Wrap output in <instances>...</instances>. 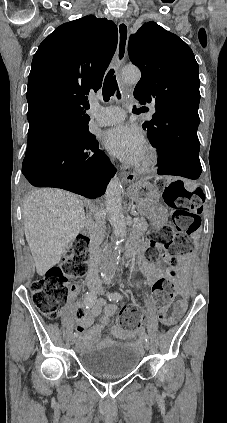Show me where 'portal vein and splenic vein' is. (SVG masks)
I'll list each match as a JSON object with an SVG mask.
<instances>
[{"instance_id": "obj_1", "label": "portal vein and splenic vein", "mask_w": 227, "mask_h": 423, "mask_svg": "<svg viewBox=\"0 0 227 423\" xmlns=\"http://www.w3.org/2000/svg\"><path fill=\"white\" fill-rule=\"evenodd\" d=\"M134 221H135V223H136V221H138V217H134Z\"/></svg>"}]
</instances>
